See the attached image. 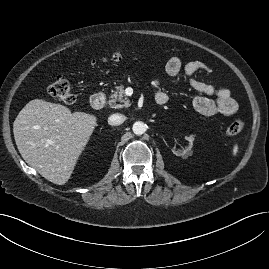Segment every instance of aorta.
I'll list each match as a JSON object with an SVG mask.
<instances>
[{
  "instance_id": "obj_1",
  "label": "aorta",
  "mask_w": 269,
  "mask_h": 269,
  "mask_svg": "<svg viewBox=\"0 0 269 269\" xmlns=\"http://www.w3.org/2000/svg\"><path fill=\"white\" fill-rule=\"evenodd\" d=\"M132 130L136 135H142L146 131V126L143 122L137 121L133 124Z\"/></svg>"
}]
</instances>
